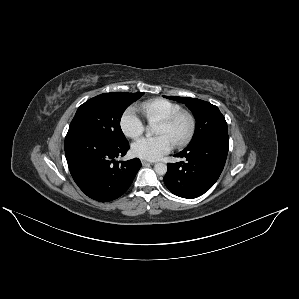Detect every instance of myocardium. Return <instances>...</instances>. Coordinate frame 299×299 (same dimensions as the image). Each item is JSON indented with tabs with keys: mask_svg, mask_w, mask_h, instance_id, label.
<instances>
[{
	"mask_svg": "<svg viewBox=\"0 0 299 299\" xmlns=\"http://www.w3.org/2000/svg\"><path fill=\"white\" fill-rule=\"evenodd\" d=\"M183 117L188 119L189 127L184 136H182L181 138H179L173 142L176 146H182V145L188 143L192 139V137L195 133V130H196V119H195L194 115L192 113H190L189 111L180 110V111L174 113L173 115L169 116L168 118H165L160 121L161 124H163L167 127H173Z\"/></svg>",
	"mask_w": 299,
	"mask_h": 299,
	"instance_id": "1",
	"label": "myocardium"
}]
</instances>
